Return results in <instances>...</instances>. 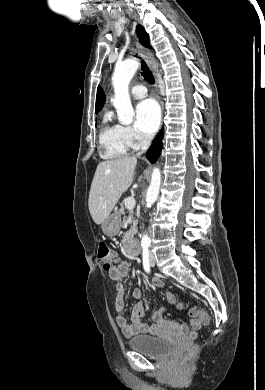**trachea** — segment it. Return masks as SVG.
<instances>
[{
    "label": "trachea",
    "mask_w": 265,
    "mask_h": 390,
    "mask_svg": "<svg viewBox=\"0 0 265 390\" xmlns=\"http://www.w3.org/2000/svg\"><path fill=\"white\" fill-rule=\"evenodd\" d=\"M141 69H142V75L145 78V80L147 82H149L150 84H154L155 79H154L151 71L149 70L148 66L146 65V63L143 60L141 61Z\"/></svg>",
    "instance_id": "obj_1"
}]
</instances>
